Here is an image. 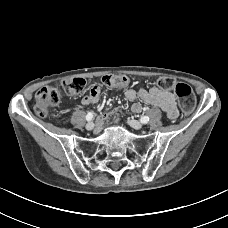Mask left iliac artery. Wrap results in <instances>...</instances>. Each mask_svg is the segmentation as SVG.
Instances as JSON below:
<instances>
[{
	"label": "left iliac artery",
	"mask_w": 228,
	"mask_h": 228,
	"mask_svg": "<svg viewBox=\"0 0 228 228\" xmlns=\"http://www.w3.org/2000/svg\"><path fill=\"white\" fill-rule=\"evenodd\" d=\"M150 118L148 116H142L140 118L141 123L147 124L149 122Z\"/></svg>",
	"instance_id": "obj_1"
}]
</instances>
